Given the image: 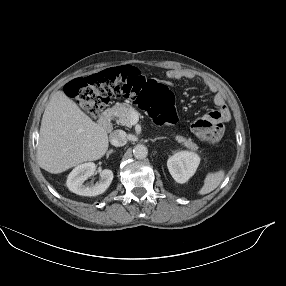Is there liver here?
Here are the masks:
<instances>
[{
  "mask_svg": "<svg viewBox=\"0 0 286 286\" xmlns=\"http://www.w3.org/2000/svg\"><path fill=\"white\" fill-rule=\"evenodd\" d=\"M106 130L92 121L63 91L55 92L44 111L37 147L39 166L57 174L108 150Z\"/></svg>",
  "mask_w": 286,
  "mask_h": 286,
  "instance_id": "obj_1",
  "label": "liver"
}]
</instances>
